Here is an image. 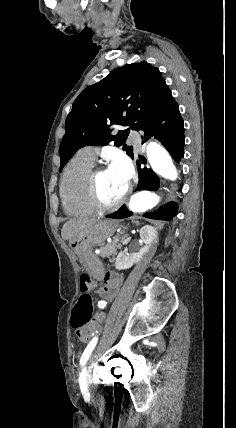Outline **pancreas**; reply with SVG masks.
<instances>
[{"label":"pancreas","instance_id":"pancreas-1","mask_svg":"<svg viewBox=\"0 0 236 428\" xmlns=\"http://www.w3.org/2000/svg\"><path fill=\"white\" fill-rule=\"evenodd\" d=\"M119 238L120 236H115L113 242L106 244V246H101L99 256H101V258H110V256H116L117 248H119V246H117Z\"/></svg>","mask_w":236,"mask_h":428}]
</instances>
